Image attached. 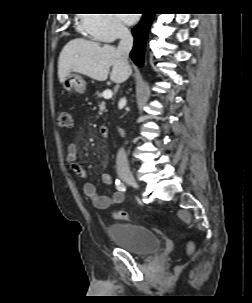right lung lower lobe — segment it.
Instances as JSON below:
<instances>
[{"mask_svg": "<svg viewBox=\"0 0 252 303\" xmlns=\"http://www.w3.org/2000/svg\"><path fill=\"white\" fill-rule=\"evenodd\" d=\"M154 14L145 13L138 25L132 29L134 36V47L130 53V57L138 66H143L144 50L150 25L153 21Z\"/></svg>", "mask_w": 252, "mask_h": 303, "instance_id": "right-lung-lower-lobe-1", "label": "right lung lower lobe"}]
</instances>
